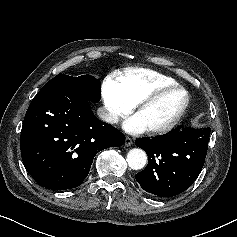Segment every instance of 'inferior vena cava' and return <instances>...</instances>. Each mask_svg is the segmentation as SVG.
I'll return each mask as SVG.
<instances>
[{"mask_svg":"<svg viewBox=\"0 0 237 237\" xmlns=\"http://www.w3.org/2000/svg\"><path fill=\"white\" fill-rule=\"evenodd\" d=\"M97 114L103 121H105L107 123L114 124V123H118V121H119V117L116 114L110 112L105 107L98 108Z\"/></svg>","mask_w":237,"mask_h":237,"instance_id":"inferior-vena-cava-1","label":"inferior vena cava"}]
</instances>
